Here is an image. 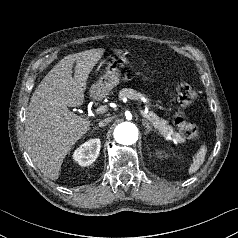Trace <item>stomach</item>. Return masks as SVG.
<instances>
[{
	"label": "stomach",
	"mask_w": 238,
	"mask_h": 238,
	"mask_svg": "<svg viewBox=\"0 0 238 238\" xmlns=\"http://www.w3.org/2000/svg\"><path fill=\"white\" fill-rule=\"evenodd\" d=\"M127 58L118 54L107 62L106 72L90 88L93 97L107 95L120 82V71L127 64Z\"/></svg>",
	"instance_id": "0dacf381"
}]
</instances>
